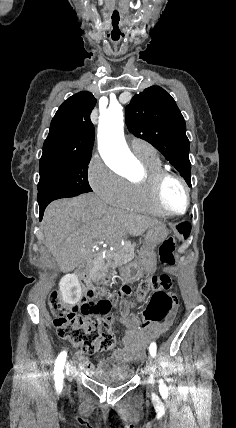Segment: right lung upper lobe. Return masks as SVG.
<instances>
[{"label": "right lung upper lobe", "instance_id": "1", "mask_svg": "<svg viewBox=\"0 0 236 428\" xmlns=\"http://www.w3.org/2000/svg\"><path fill=\"white\" fill-rule=\"evenodd\" d=\"M95 104L96 98L86 91L74 94L62 103L52 119L42 155H91L95 130L90 113Z\"/></svg>", "mask_w": 236, "mask_h": 428}]
</instances>
